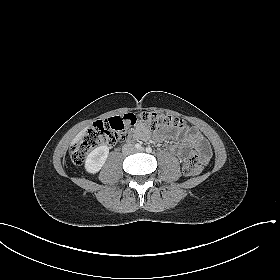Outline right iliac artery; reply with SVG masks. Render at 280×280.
<instances>
[{
	"label": "right iliac artery",
	"mask_w": 280,
	"mask_h": 280,
	"mask_svg": "<svg viewBox=\"0 0 280 280\" xmlns=\"http://www.w3.org/2000/svg\"><path fill=\"white\" fill-rule=\"evenodd\" d=\"M135 148L140 150L142 148V146H141V144L137 143V144H135Z\"/></svg>",
	"instance_id": "obj_1"
}]
</instances>
